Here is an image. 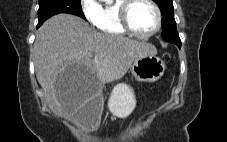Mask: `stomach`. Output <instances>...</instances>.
<instances>
[{"instance_id":"1","label":"stomach","mask_w":227,"mask_h":142,"mask_svg":"<svg viewBox=\"0 0 227 142\" xmlns=\"http://www.w3.org/2000/svg\"><path fill=\"white\" fill-rule=\"evenodd\" d=\"M166 69L165 62L156 55H147L135 60L131 66L132 76L141 82H156ZM136 104L135 92L126 83L117 84L109 98L110 111L120 118L127 117Z\"/></svg>"}]
</instances>
